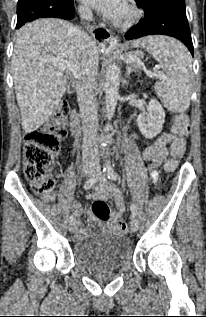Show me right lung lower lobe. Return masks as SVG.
<instances>
[{
	"mask_svg": "<svg viewBox=\"0 0 206 317\" xmlns=\"http://www.w3.org/2000/svg\"><path fill=\"white\" fill-rule=\"evenodd\" d=\"M57 18L70 20L75 16V9L73 2L67 7H61L57 12Z\"/></svg>",
	"mask_w": 206,
	"mask_h": 317,
	"instance_id": "right-lung-lower-lobe-1",
	"label": "right lung lower lobe"
}]
</instances>
